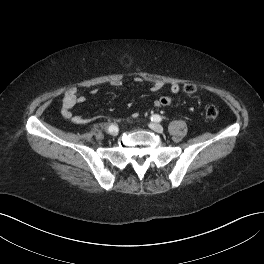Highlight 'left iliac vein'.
Here are the masks:
<instances>
[{
  "instance_id": "obj_1",
  "label": "left iliac vein",
  "mask_w": 264,
  "mask_h": 264,
  "mask_svg": "<svg viewBox=\"0 0 264 264\" xmlns=\"http://www.w3.org/2000/svg\"><path fill=\"white\" fill-rule=\"evenodd\" d=\"M149 127H150V129H152L153 131H155L157 133L163 132V127L158 123H150Z\"/></svg>"
}]
</instances>
